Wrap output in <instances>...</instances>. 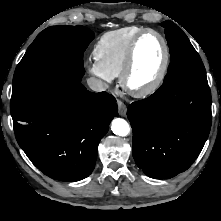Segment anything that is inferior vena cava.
I'll return each instance as SVG.
<instances>
[{"label": "inferior vena cava", "mask_w": 221, "mask_h": 221, "mask_svg": "<svg viewBox=\"0 0 221 221\" xmlns=\"http://www.w3.org/2000/svg\"><path fill=\"white\" fill-rule=\"evenodd\" d=\"M87 84L89 88L95 92L105 91L108 88V85L105 82L95 77H90L87 80Z\"/></svg>", "instance_id": "602c4592"}]
</instances>
